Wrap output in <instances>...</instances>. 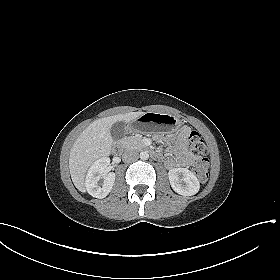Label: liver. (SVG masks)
<instances>
[{"mask_svg": "<svg viewBox=\"0 0 280 280\" xmlns=\"http://www.w3.org/2000/svg\"><path fill=\"white\" fill-rule=\"evenodd\" d=\"M144 112H129L93 121L74 142L69 156V169L75 187L85 192V175L89 167L98 159L109 156L113 144L111 126L123 121L129 123Z\"/></svg>", "mask_w": 280, "mask_h": 280, "instance_id": "6515ba94", "label": "liver"}]
</instances>
